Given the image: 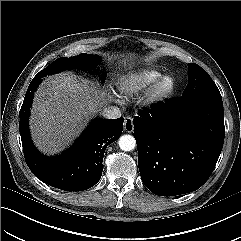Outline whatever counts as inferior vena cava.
<instances>
[{
	"instance_id": "602c4592",
	"label": "inferior vena cava",
	"mask_w": 241,
	"mask_h": 241,
	"mask_svg": "<svg viewBox=\"0 0 241 241\" xmlns=\"http://www.w3.org/2000/svg\"><path fill=\"white\" fill-rule=\"evenodd\" d=\"M102 116L107 119H117L121 117V111L118 107L108 106L103 109Z\"/></svg>"
}]
</instances>
